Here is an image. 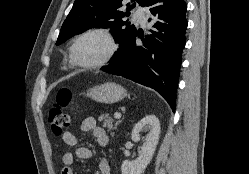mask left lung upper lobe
I'll return each mask as SVG.
<instances>
[{
    "instance_id": "obj_1",
    "label": "left lung upper lobe",
    "mask_w": 249,
    "mask_h": 174,
    "mask_svg": "<svg viewBox=\"0 0 249 174\" xmlns=\"http://www.w3.org/2000/svg\"><path fill=\"white\" fill-rule=\"evenodd\" d=\"M123 0H75L74 5L64 21L56 45H60L75 34H79L88 28H111L113 37L120 48L112 58L114 62L125 44L137 33L134 25L122 19L130 15L135 2L146 6L149 0H131L127 4V10L121 9Z\"/></svg>"
}]
</instances>
